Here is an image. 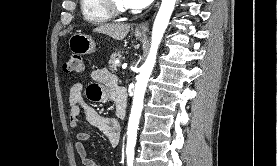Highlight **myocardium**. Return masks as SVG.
Instances as JSON below:
<instances>
[{
	"instance_id": "myocardium-1",
	"label": "myocardium",
	"mask_w": 277,
	"mask_h": 166,
	"mask_svg": "<svg viewBox=\"0 0 277 166\" xmlns=\"http://www.w3.org/2000/svg\"><path fill=\"white\" fill-rule=\"evenodd\" d=\"M100 5L113 17L123 16L128 13L126 7L120 6L116 0H98Z\"/></svg>"
}]
</instances>
